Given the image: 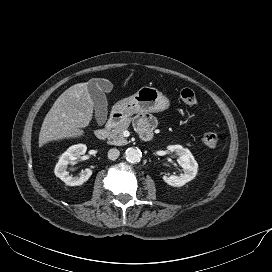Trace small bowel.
Returning a JSON list of instances; mask_svg holds the SVG:
<instances>
[{
  "mask_svg": "<svg viewBox=\"0 0 272 272\" xmlns=\"http://www.w3.org/2000/svg\"><path fill=\"white\" fill-rule=\"evenodd\" d=\"M155 126V119L149 115H142L136 120V129L144 140L150 139L151 132Z\"/></svg>",
  "mask_w": 272,
  "mask_h": 272,
  "instance_id": "c3829d8e",
  "label": "small bowel"
}]
</instances>
